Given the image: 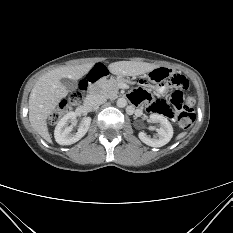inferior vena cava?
<instances>
[{
  "label": "inferior vena cava",
  "instance_id": "inferior-vena-cava-1",
  "mask_svg": "<svg viewBox=\"0 0 233 233\" xmlns=\"http://www.w3.org/2000/svg\"><path fill=\"white\" fill-rule=\"evenodd\" d=\"M106 102V97L102 94H91L86 97L85 104L90 107H97Z\"/></svg>",
  "mask_w": 233,
  "mask_h": 233
}]
</instances>
